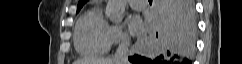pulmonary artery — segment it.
I'll return each mask as SVG.
<instances>
[{
    "mask_svg": "<svg viewBox=\"0 0 242 64\" xmlns=\"http://www.w3.org/2000/svg\"><path fill=\"white\" fill-rule=\"evenodd\" d=\"M128 3L135 10H143L147 5L145 0H128Z\"/></svg>",
    "mask_w": 242,
    "mask_h": 64,
    "instance_id": "pulmonary-artery-1",
    "label": "pulmonary artery"
}]
</instances>
